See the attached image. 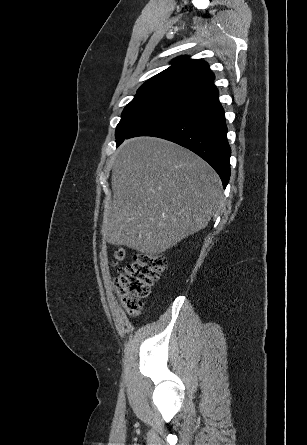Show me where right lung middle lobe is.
Segmentation results:
<instances>
[{
    "label": "right lung middle lobe",
    "instance_id": "1",
    "mask_svg": "<svg viewBox=\"0 0 307 445\" xmlns=\"http://www.w3.org/2000/svg\"><path fill=\"white\" fill-rule=\"evenodd\" d=\"M184 101L180 98L157 95L135 96L122 112L116 128V142L142 125L178 107Z\"/></svg>",
    "mask_w": 307,
    "mask_h": 445
}]
</instances>
